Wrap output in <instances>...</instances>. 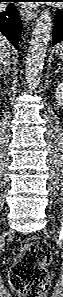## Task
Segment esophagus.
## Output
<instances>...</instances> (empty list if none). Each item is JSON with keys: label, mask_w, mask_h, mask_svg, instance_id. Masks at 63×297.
Returning <instances> with one entry per match:
<instances>
[{"label": "esophagus", "mask_w": 63, "mask_h": 297, "mask_svg": "<svg viewBox=\"0 0 63 297\" xmlns=\"http://www.w3.org/2000/svg\"><path fill=\"white\" fill-rule=\"evenodd\" d=\"M21 17L24 21L30 22L36 17V11L31 8H25L20 10Z\"/></svg>", "instance_id": "34e87169"}]
</instances>
